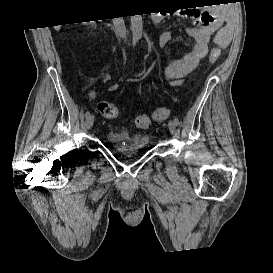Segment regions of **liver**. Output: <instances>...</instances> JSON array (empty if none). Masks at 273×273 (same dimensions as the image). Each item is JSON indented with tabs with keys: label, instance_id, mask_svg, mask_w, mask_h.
Here are the masks:
<instances>
[{
	"label": "liver",
	"instance_id": "6515ba94",
	"mask_svg": "<svg viewBox=\"0 0 273 273\" xmlns=\"http://www.w3.org/2000/svg\"><path fill=\"white\" fill-rule=\"evenodd\" d=\"M60 26H56L55 28H56V30H59L60 28H59Z\"/></svg>",
	"mask_w": 273,
	"mask_h": 273
}]
</instances>
